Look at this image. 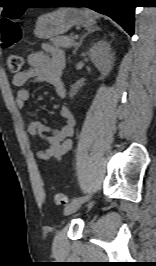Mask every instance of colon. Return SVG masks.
Segmentation results:
<instances>
[{
  "label": "colon",
  "instance_id": "5ec220e1",
  "mask_svg": "<svg viewBox=\"0 0 156 266\" xmlns=\"http://www.w3.org/2000/svg\"><path fill=\"white\" fill-rule=\"evenodd\" d=\"M22 15V11H14L6 15L0 23L1 33H2V45L3 47H12L15 44L19 43L21 39V27L17 23V20ZM6 65L10 72L18 73L20 72L23 66V59L17 54H9L6 57ZM54 201L56 204H65L67 198L62 193H56L54 195Z\"/></svg>",
  "mask_w": 156,
  "mask_h": 266
}]
</instances>
